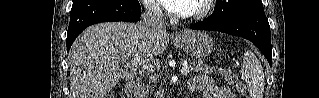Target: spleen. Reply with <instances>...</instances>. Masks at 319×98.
Wrapping results in <instances>:
<instances>
[{
	"label": "spleen",
	"instance_id": "3e777b00",
	"mask_svg": "<svg viewBox=\"0 0 319 98\" xmlns=\"http://www.w3.org/2000/svg\"><path fill=\"white\" fill-rule=\"evenodd\" d=\"M241 74L247 84L251 98H263L265 86L263 68L251 51L244 53Z\"/></svg>",
	"mask_w": 319,
	"mask_h": 98
}]
</instances>
